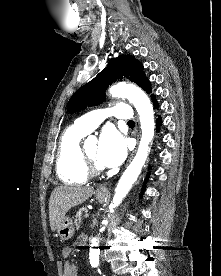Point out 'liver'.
Masks as SVG:
<instances>
[{
  "label": "liver",
  "instance_id": "1",
  "mask_svg": "<svg viewBox=\"0 0 221 276\" xmlns=\"http://www.w3.org/2000/svg\"><path fill=\"white\" fill-rule=\"evenodd\" d=\"M94 189L91 187L59 186L56 187L49 199V220L51 230L55 231L66 213L77 205L88 200Z\"/></svg>",
  "mask_w": 221,
  "mask_h": 276
}]
</instances>
